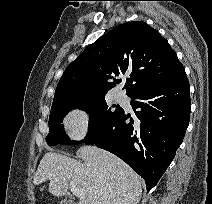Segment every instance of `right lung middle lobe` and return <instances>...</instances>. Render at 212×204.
Masks as SVG:
<instances>
[{
	"label": "right lung middle lobe",
	"mask_w": 212,
	"mask_h": 204,
	"mask_svg": "<svg viewBox=\"0 0 212 204\" xmlns=\"http://www.w3.org/2000/svg\"><path fill=\"white\" fill-rule=\"evenodd\" d=\"M112 107H115L116 109L113 110L111 107H108L104 96H99L51 109L49 117V134L46 137L48 145H72L85 142L88 138L100 132L123 110L119 105H114ZM73 108H83L91 115L89 121V133L84 141L78 142L70 140L63 131V125L61 124L63 117Z\"/></svg>",
	"instance_id": "dd1d6c3e"
}]
</instances>
